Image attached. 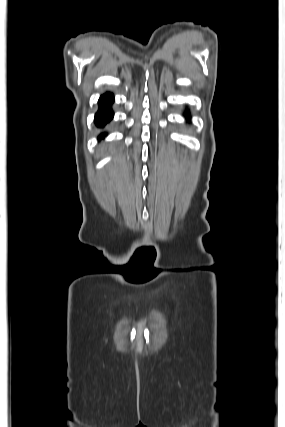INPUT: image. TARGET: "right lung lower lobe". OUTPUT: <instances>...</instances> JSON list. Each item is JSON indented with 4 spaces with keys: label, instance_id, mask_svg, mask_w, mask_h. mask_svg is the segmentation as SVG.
<instances>
[{
    "label": "right lung lower lobe",
    "instance_id": "right-lung-lower-lobe-1",
    "mask_svg": "<svg viewBox=\"0 0 285 427\" xmlns=\"http://www.w3.org/2000/svg\"><path fill=\"white\" fill-rule=\"evenodd\" d=\"M114 101L112 94L107 93L99 99V110L95 115V123L97 126L102 127L113 118V111L111 104ZM105 134H102L100 138H103Z\"/></svg>",
    "mask_w": 285,
    "mask_h": 427
}]
</instances>
